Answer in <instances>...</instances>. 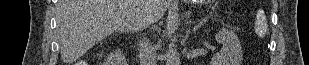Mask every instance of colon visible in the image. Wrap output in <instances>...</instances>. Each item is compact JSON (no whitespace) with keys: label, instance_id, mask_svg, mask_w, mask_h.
<instances>
[{"label":"colon","instance_id":"5ec220e1","mask_svg":"<svg viewBox=\"0 0 309 65\" xmlns=\"http://www.w3.org/2000/svg\"><path fill=\"white\" fill-rule=\"evenodd\" d=\"M268 19L264 12H258L255 19V32L258 37L263 38L267 34Z\"/></svg>","mask_w":309,"mask_h":65}]
</instances>
